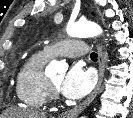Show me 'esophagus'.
Listing matches in <instances>:
<instances>
[{
  "instance_id": "esophagus-1",
  "label": "esophagus",
  "mask_w": 133,
  "mask_h": 118,
  "mask_svg": "<svg viewBox=\"0 0 133 118\" xmlns=\"http://www.w3.org/2000/svg\"><path fill=\"white\" fill-rule=\"evenodd\" d=\"M97 50H98V65H99V78H98L97 85L95 89L92 91V93L82 103H80L73 109L66 111L62 115L63 118L77 117L92 102V100L96 97V95L99 92L102 85L103 77H104L105 62L103 58V51L99 45L97 46Z\"/></svg>"
}]
</instances>
